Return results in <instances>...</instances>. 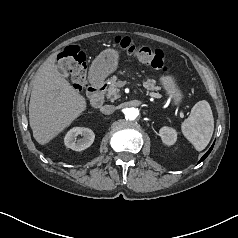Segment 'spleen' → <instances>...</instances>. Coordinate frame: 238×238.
<instances>
[{
	"instance_id": "obj_1",
	"label": "spleen",
	"mask_w": 238,
	"mask_h": 238,
	"mask_svg": "<svg viewBox=\"0 0 238 238\" xmlns=\"http://www.w3.org/2000/svg\"><path fill=\"white\" fill-rule=\"evenodd\" d=\"M181 131L197 151L206 148L214 131L212 110L206 100H201L193 106L189 117L181 125Z\"/></svg>"
}]
</instances>
